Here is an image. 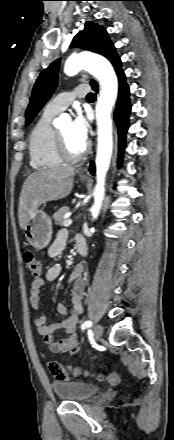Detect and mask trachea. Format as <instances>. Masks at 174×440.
Masks as SVG:
<instances>
[{
    "mask_svg": "<svg viewBox=\"0 0 174 440\" xmlns=\"http://www.w3.org/2000/svg\"><path fill=\"white\" fill-rule=\"evenodd\" d=\"M95 98H96V95L94 93H89L87 95V99H89V100H94Z\"/></svg>",
    "mask_w": 174,
    "mask_h": 440,
    "instance_id": "1",
    "label": "trachea"
}]
</instances>
